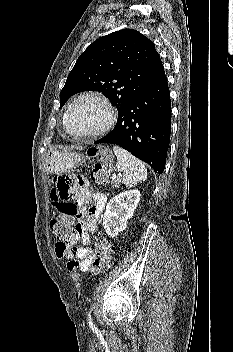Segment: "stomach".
Instances as JSON below:
<instances>
[{"label": "stomach", "instance_id": "stomach-1", "mask_svg": "<svg viewBox=\"0 0 233 352\" xmlns=\"http://www.w3.org/2000/svg\"><path fill=\"white\" fill-rule=\"evenodd\" d=\"M85 162V157L79 153L68 151H49L46 155V168L50 173H65Z\"/></svg>", "mask_w": 233, "mask_h": 352}]
</instances>
